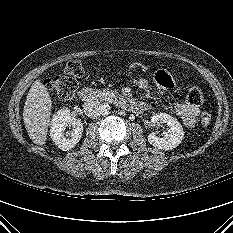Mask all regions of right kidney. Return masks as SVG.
<instances>
[{
	"label": "right kidney",
	"instance_id": "1",
	"mask_svg": "<svg viewBox=\"0 0 233 233\" xmlns=\"http://www.w3.org/2000/svg\"><path fill=\"white\" fill-rule=\"evenodd\" d=\"M72 127L71 132L64 134L66 127ZM83 124L73 118L67 108L60 109L51 121L50 136L55 144L63 151L72 149L81 139Z\"/></svg>",
	"mask_w": 233,
	"mask_h": 233
}]
</instances>
